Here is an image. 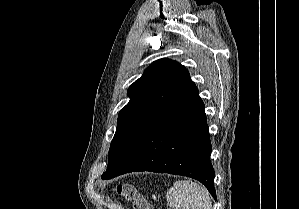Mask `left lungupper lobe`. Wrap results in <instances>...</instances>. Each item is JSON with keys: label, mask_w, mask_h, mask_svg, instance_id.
<instances>
[{"label": "left lung upper lobe", "mask_w": 299, "mask_h": 209, "mask_svg": "<svg viewBox=\"0 0 299 209\" xmlns=\"http://www.w3.org/2000/svg\"><path fill=\"white\" fill-rule=\"evenodd\" d=\"M188 70L170 59L152 63L128 89L129 103L119 112L109 149L110 168L129 139L162 105L191 83Z\"/></svg>", "instance_id": "1"}]
</instances>
